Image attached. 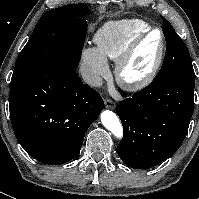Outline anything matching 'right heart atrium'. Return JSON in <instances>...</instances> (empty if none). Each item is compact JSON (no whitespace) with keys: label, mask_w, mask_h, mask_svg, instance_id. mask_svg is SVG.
Masks as SVG:
<instances>
[{"label":"right heart atrium","mask_w":199,"mask_h":199,"mask_svg":"<svg viewBox=\"0 0 199 199\" xmlns=\"http://www.w3.org/2000/svg\"><path fill=\"white\" fill-rule=\"evenodd\" d=\"M82 61V69L88 83L98 86L109 72L106 59L96 48L87 47L82 52Z\"/></svg>","instance_id":"1"}]
</instances>
